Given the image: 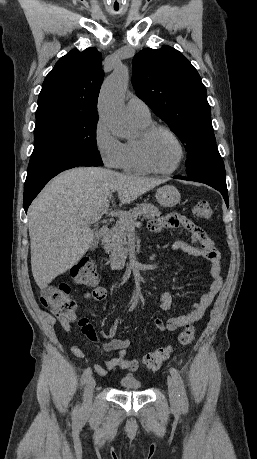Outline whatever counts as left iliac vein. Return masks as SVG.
Segmentation results:
<instances>
[{
	"instance_id": "1",
	"label": "left iliac vein",
	"mask_w": 257,
	"mask_h": 459,
	"mask_svg": "<svg viewBox=\"0 0 257 459\" xmlns=\"http://www.w3.org/2000/svg\"><path fill=\"white\" fill-rule=\"evenodd\" d=\"M167 385H168V394H169L170 404L174 409H179L180 408L179 393H178L177 385L172 377H168Z\"/></svg>"
}]
</instances>
